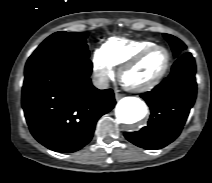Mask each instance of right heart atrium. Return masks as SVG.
<instances>
[{
	"instance_id": "obj_1",
	"label": "right heart atrium",
	"mask_w": 212,
	"mask_h": 183,
	"mask_svg": "<svg viewBox=\"0 0 212 183\" xmlns=\"http://www.w3.org/2000/svg\"><path fill=\"white\" fill-rule=\"evenodd\" d=\"M93 70L97 80L101 84L107 83L114 75L113 65L105 55L103 48H99L94 52Z\"/></svg>"
}]
</instances>
